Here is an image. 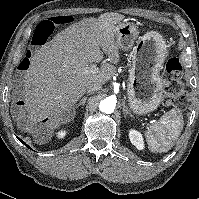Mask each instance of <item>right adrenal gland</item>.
I'll return each instance as SVG.
<instances>
[{"label": "right adrenal gland", "mask_w": 199, "mask_h": 199, "mask_svg": "<svg viewBox=\"0 0 199 199\" xmlns=\"http://www.w3.org/2000/svg\"><path fill=\"white\" fill-rule=\"evenodd\" d=\"M86 100H87V97H83V99H81L80 102L76 106H74V108H73V114L74 115H75V110L81 105L84 106Z\"/></svg>", "instance_id": "1"}]
</instances>
